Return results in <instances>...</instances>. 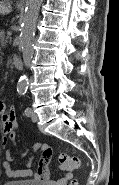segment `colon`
I'll use <instances>...</instances> for the list:
<instances>
[{
  "label": "colon",
  "mask_w": 119,
  "mask_h": 185,
  "mask_svg": "<svg viewBox=\"0 0 119 185\" xmlns=\"http://www.w3.org/2000/svg\"><path fill=\"white\" fill-rule=\"evenodd\" d=\"M59 163L62 166L69 167L72 169H78L80 166V160L77 157H72L67 154H60L58 157ZM69 185H78L76 180H72Z\"/></svg>",
  "instance_id": "colon-1"
}]
</instances>
